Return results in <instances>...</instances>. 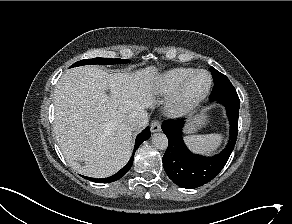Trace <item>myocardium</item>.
<instances>
[{
	"instance_id": "myocardium-1",
	"label": "myocardium",
	"mask_w": 292,
	"mask_h": 224,
	"mask_svg": "<svg viewBox=\"0 0 292 224\" xmlns=\"http://www.w3.org/2000/svg\"><path fill=\"white\" fill-rule=\"evenodd\" d=\"M199 73H206L209 76V84L206 90L194 97H190L187 94V89L192 81V79ZM213 85V77L212 74L205 69H198L193 71L190 75H188L183 82L180 84L178 89L172 95L169 104L168 111L173 116H179L189 112L194 109L197 105H199L210 93Z\"/></svg>"
}]
</instances>
